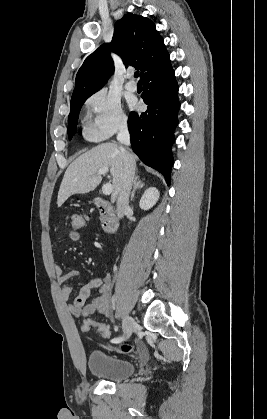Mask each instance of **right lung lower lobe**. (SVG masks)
<instances>
[{
    "instance_id": "obj_1",
    "label": "right lung lower lobe",
    "mask_w": 267,
    "mask_h": 419,
    "mask_svg": "<svg viewBox=\"0 0 267 419\" xmlns=\"http://www.w3.org/2000/svg\"><path fill=\"white\" fill-rule=\"evenodd\" d=\"M142 98L148 105L146 112H131L128 128L131 146L138 157L148 166L158 170L170 185V173L174 164L172 145L178 125V85L170 60L153 69L142 78Z\"/></svg>"
}]
</instances>
